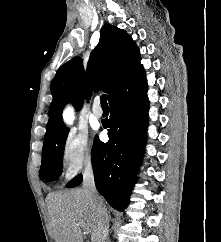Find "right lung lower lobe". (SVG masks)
I'll return each mask as SVG.
<instances>
[{
    "mask_svg": "<svg viewBox=\"0 0 221 242\" xmlns=\"http://www.w3.org/2000/svg\"><path fill=\"white\" fill-rule=\"evenodd\" d=\"M109 104L110 118L104 123L109 141L95 138L92 165L98 192L113 208L123 211L129 204L146 142L149 102L145 72L120 85ZM81 182L79 175L67 187Z\"/></svg>",
    "mask_w": 221,
    "mask_h": 242,
    "instance_id": "98d812e1",
    "label": "right lung lower lobe"
}]
</instances>
